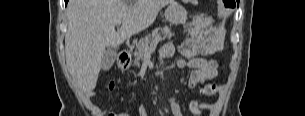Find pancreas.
I'll list each match as a JSON object with an SVG mask.
<instances>
[{
  "mask_svg": "<svg viewBox=\"0 0 305 116\" xmlns=\"http://www.w3.org/2000/svg\"><path fill=\"white\" fill-rule=\"evenodd\" d=\"M173 33L171 29L167 26L163 28H156L151 34L146 35L144 38L136 42V49L134 52V65L139 66L140 61L144 55V47L148 46L155 38L160 37L161 39H171Z\"/></svg>",
  "mask_w": 305,
  "mask_h": 116,
  "instance_id": "cf45deb5",
  "label": "pancreas"
}]
</instances>
